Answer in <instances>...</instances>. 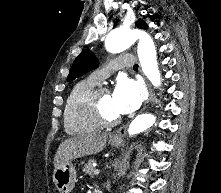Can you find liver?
I'll return each instance as SVG.
<instances>
[{"label":"liver","mask_w":221,"mask_h":193,"mask_svg":"<svg viewBox=\"0 0 221 193\" xmlns=\"http://www.w3.org/2000/svg\"><path fill=\"white\" fill-rule=\"evenodd\" d=\"M108 134L78 135L63 141L55 154L54 167L76 158L101 152L106 146Z\"/></svg>","instance_id":"liver-1"}]
</instances>
